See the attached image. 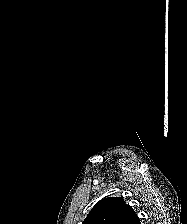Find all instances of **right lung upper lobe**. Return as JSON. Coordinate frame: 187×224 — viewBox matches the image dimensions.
Listing matches in <instances>:
<instances>
[{"instance_id":"obj_1","label":"right lung upper lobe","mask_w":187,"mask_h":224,"mask_svg":"<svg viewBox=\"0 0 187 224\" xmlns=\"http://www.w3.org/2000/svg\"><path fill=\"white\" fill-rule=\"evenodd\" d=\"M82 224H140L133 209L120 197L99 201Z\"/></svg>"}]
</instances>
